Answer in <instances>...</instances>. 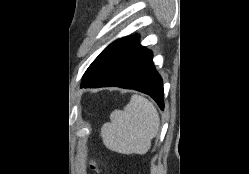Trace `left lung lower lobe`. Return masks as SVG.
Instances as JSON below:
<instances>
[{
	"label": "left lung lower lobe",
	"instance_id": "left-lung-lower-lobe-1",
	"mask_svg": "<svg viewBox=\"0 0 249 174\" xmlns=\"http://www.w3.org/2000/svg\"><path fill=\"white\" fill-rule=\"evenodd\" d=\"M110 86L146 93L164 108L162 79L155 70L151 51L139 44L138 35L127 40L101 70L81 83L85 88Z\"/></svg>",
	"mask_w": 249,
	"mask_h": 174
}]
</instances>
